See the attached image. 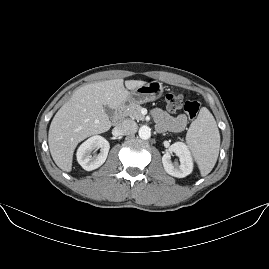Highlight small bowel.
I'll use <instances>...</instances> for the list:
<instances>
[{"instance_id":"obj_1","label":"small bowel","mask_w":269,"mask_h":269,"mask_svg":"<svg viewBox=\"0 0 269 269\" xmlns=\"http://www.w3.org/2000/svg\"><path fill=\"white\" fill-rule=\"evenodd\" d=\"M152 114L157 122V129L159 131L169 130L179 132L182 131L187 124V117L184 114L172 117L160 108H155Z\"/></svg>"}]
</instances>
